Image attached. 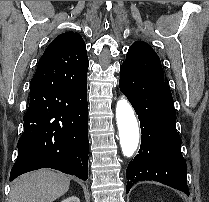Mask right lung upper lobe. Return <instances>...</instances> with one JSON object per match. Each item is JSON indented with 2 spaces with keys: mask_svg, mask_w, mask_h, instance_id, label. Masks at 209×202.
Here are the masks:
<instances>
[{
  "mask_svg": "<svg viewBox=\"0 0 209 202\" xmlns=\"http://www.w3.org/2000/svg\"><path fill=\"white\" fill-rule=\"evenodd\" d=\"M40 59H54L51 69L75 82L86 79L89 61L86 45L78 33L70 31L58 35Z\"/></svg>",
  "mask_w": 209,
  "mask_h": 202,
  "instance_id": "obj_1",
  "label": "right lung upper lobe"
}]
</instances>
